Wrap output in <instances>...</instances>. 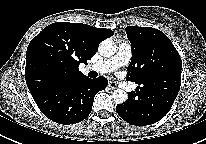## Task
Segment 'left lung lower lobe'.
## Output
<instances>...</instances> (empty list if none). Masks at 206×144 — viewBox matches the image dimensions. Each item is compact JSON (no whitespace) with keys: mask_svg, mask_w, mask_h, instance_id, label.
Instances as JSON below:
<instances>
[{"mask_svg":"<svg viewBox=\"0 0 206 144\" xmlns=\"http://www.w3.org/2000/svg\"><path fill=\"white\" fill-rule=\"evenodd\" d=\"M178 92L174 87L147 90L139 85L136 91L128 93L126 103L116 106V110L131 125L154 124L169 112Z\"/></svg>","mask_w":206,"mask_h":144,"instance_id":"0a47b994","label":"left lung lower lobe"}]
</instances>
